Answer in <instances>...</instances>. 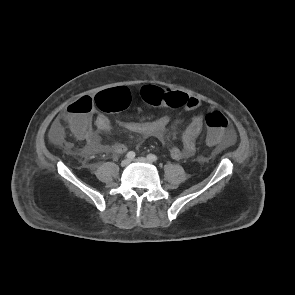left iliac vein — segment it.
Masks as SVG:
<instances>
[{
	"label": "left iliac vein",
	"mask_w": 295,
	"mask_h": 295,
	"mask_svg": "<svg viewBox=\"0 0 295 295\" xmlns=\"http://www.w3.org/2000/svg\"><path fill=\"white\" fill-rule=\"evenodd\" d=\"M135 162L151 164L152 162L145 157H138L134 159Z\"/></svg>",
	"instance_id": "4c4485c4"
}]
</instances>
